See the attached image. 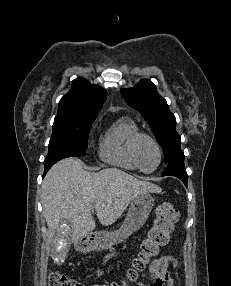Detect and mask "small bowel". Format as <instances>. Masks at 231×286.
I'll list each match as a JSON object with an SVG mask.
<instances>
[{
    "instance_id": "obj_1",
    "label": "small bowel",
    "mask_w": 231,
    "mask_h": 286,
    "mask_svg": "<svg viewBox=\"0 0 231 286\" xmlns=\"http://www.w3.org/2000/svg\"><path fill=\"white\" fill-rule=\"evenodd\" d=\"M114 255L115 252H111L103 257L100 264L93 270L94 277L99 278L102 276V266ZM178 265V261L171 255L153 259L149 265L150 279L146 282H140L138 286H174V279L168 273V267L177 268Z\"/></svg>"
}]
</instances>
